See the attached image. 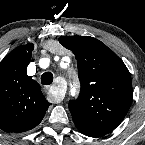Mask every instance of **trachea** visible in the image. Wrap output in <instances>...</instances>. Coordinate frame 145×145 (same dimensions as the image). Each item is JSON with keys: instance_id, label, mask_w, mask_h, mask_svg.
Here are the masks:
<instances>
[{"instance_id": "trachea-1", "label": "trachea", "mask_w": 145, "mask_h": 145, "mask_svg": "<svg viewBox=\"0 0 145 145\" xmlns=\"http://www.w3.org/2000/svg\"><path fill=\"white\" fill-rule=\"evenodd\" d=\"M53 82V74L51 72H45L41 76V83L43 85H50Z\"/></svg>"}]
</instances>
